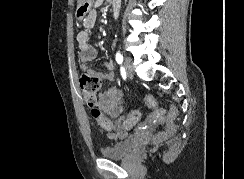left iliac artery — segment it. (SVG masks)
<instances>
[{
    "label": "left iliac artery",
    "instance_id": "44dca946",
    "mask_svg": "<svg viewBox=\"0 0 244 179\" xmlns=\"http://www.w3.org/2000/svg\"><path fill=\"white\" fill-rule=\"evenodd\" d=\"M116 61L118 64L123 62V56L119 52L116 53Z\"/></svg>",
    "mask_w": 244,
    "mask_h": 179
}]
</instances>
